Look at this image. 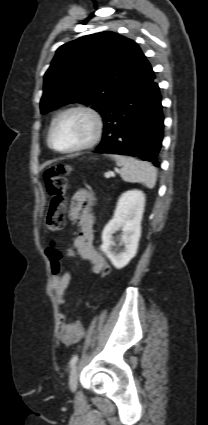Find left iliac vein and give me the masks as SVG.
<instances>
[{
  "instance_id": "obj_1",
  "label": "left iliac vein",
  "mask_w": 208,
  "mask_h": 425,
  "mask_svg": "<svg viewBox=\"0 0 208 425\" xmlns=\"http://www.w3.org/2000/svg\"><path fill=\"white\" fill-rule=\"evenodd\" d=\"M78 384V366L75 365L72 367L70 375H69V387L71 391H75Z\"/></svg>"
}]
</instances>
